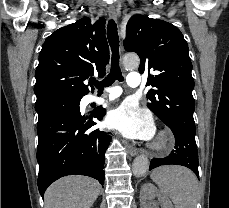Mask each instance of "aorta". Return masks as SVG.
<instances>
[{
    "mask_svg": "<svg viewBox=\"0 0 229 208\" xmlns=\"http://www.w3.org/2000/svg\"><path fill=\"white\" fill-rule=\"evenodd\" d=\"M124 66L126 69H135L139 66V57L135 54H127L124 57ZM149 169V160L146 156H137L132 164V171L136 177H142Z\"/></svg>",
    "mask_w": 229,
    "mask_h": 208,
    "instance_id": "1",
    "label": "aorta"
}]
</instances>
